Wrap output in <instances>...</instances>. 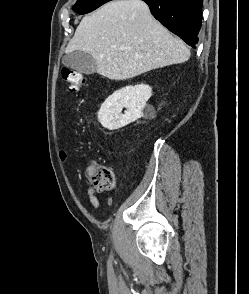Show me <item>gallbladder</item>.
<instances>
[{"label": "gallbladder", "mask_w": 249, "mask_h": 294, "mask_svg": "<svg viewBox=\"0 0 249 294\" xmlns=\"http://www.w3.org/2000/svg\"><path fill=\"white\" fill-rule=\"evenodd\" d=\"M62 63L75 71L83 74H94L96 72L95 59L86 52L73 51L64 56Z\"/></svg>", "instance_id": "1"}]
</instances>
